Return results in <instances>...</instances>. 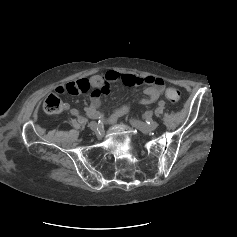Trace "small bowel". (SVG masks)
Segmentation results:
<instances>
[{
	"label": "small bowel",
	"instance_id": "obj_1",
	"mask_svg": "<svg viewBox=\"0 0 237 237\" xmlns=\"http://www.w3.org/2000/svg\"><path fill=\"white\" fill-rule=\"evenodd\" d=\"M112 82H122L127 86H137L145 84V97L138 100L139 105H148L157 101L165 89L164 81L155 76L139 77L132 74L119 73L117 71H107L102 75H93L89 78H81L76 81L69 82L57 86L56 91L60 94H81L88 93L90 95V105L86 112L88 116L97 113L101 106V96L108 95L111 91ZM64 109H69V104L64 103ZM130 111V106L124 105L118 108L109 118V123L114 125L118 119L126 115Z\"/></svg>",
	"mask_w": 237,
	"mask_h": 237
}]
</instances>
